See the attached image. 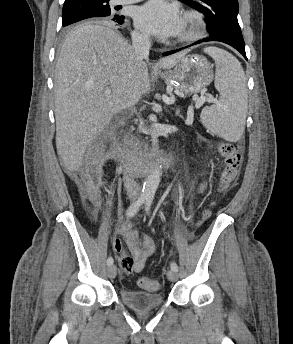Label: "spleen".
Returning <instances> with one entry per match:
<instances>
[{
	"instance_id": "1",
	"label": "spleen",
	"mask_w": 293,
	"mask_h": 344,
	"mask_svg": "<svg viewBox=\"0 0 293 344\" xmlns=\"http://www.w3.org/2000/svg\"><path fill=\"white\" fill-rule=\"evenodd\" d=\"M204 52L215 61V87L220 98L202 110L201 121L212 133L235 142L245 128L248 104L245 73L237 58L229 52L217 47L205 48Z\"/></svg>"
}]
</instances>
